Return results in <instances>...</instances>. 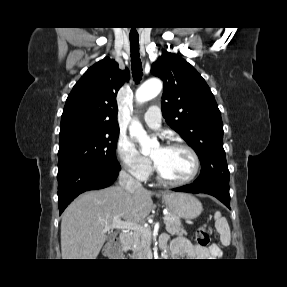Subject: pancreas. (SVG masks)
Wrapping results in <instances>:
<instances>
[{"instance_id":"pancreas-1","label":"pancreas","mask_w":287,"mask_h":287,"mask_svg":"<svg viewBox=\"0 0 287 287\" xmlns=\"http://www.w3.org/2000/svg\"><path fill=\"white\" fill-rule=\"evenodd\" d=\"M166 216L168 217V219L164 220V223L166 225V230L168 233H170L171 235H178V236L187 235V232L184 230L179 217L175 216L172 213H169ZM149 239L150 235L148 234H144L141 232H134L132 234L131 242H132L133 257H140V258L146 257L149 248L148 247Z\"/></svg>"}]
</instances>
